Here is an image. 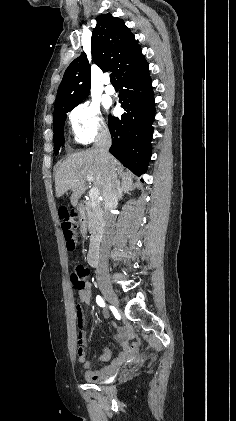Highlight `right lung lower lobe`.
<instances>
[{"label":"right lung lower lobe","mask_w":236,"mask_h":421,"mask_svg":"<svg viewBox=\"0 0 236 421\" xmlns=\"http://www.w3.org/2000/svg\"><path fill=\"white\" fill-rule=\"evenodd\" d=\"M116 77L121 86L119 103L126 113L121 119L109 116L112 137L109 152L140 176L146 172L151 156V125L155 115L152 84L144 56L123 68Z\"/></svg>","instance_id":"98d812e1"}]
</instances>
